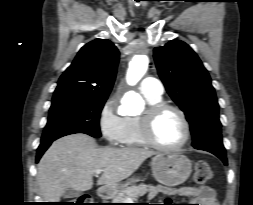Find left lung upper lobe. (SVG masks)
<instances>
[{
	"mask_svg": "<svg viewBox=\"0 0 253 205\" xmlns=\"http://www.w3.org/2000/svg\"><path fill=\"white\" fill-rule=\"evenodd\" d=\"M154 59L167 92L190 123L192 146L226 155L215 91L197 54L185 42L172 40L154 49Z\"/></svg>",
	"mask_w": 253,
	"mask_h": 205,
	"instance_id": "1",
	"label": "left lung upper lobe"
}]
</instances>
